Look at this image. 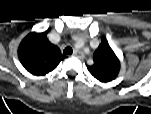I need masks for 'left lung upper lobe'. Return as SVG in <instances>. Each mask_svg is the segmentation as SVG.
<instances>
[{"instance_id": "left-lung-upper-lobe-1", "label": "left lung upper lobe", "mask_w": 151, "mask_h": 114, "mask_svg": "<svg viewBox=\"0 0 151 114\" xmlns=\"http://www.w3.org/2000/svg\"><path fill=\"white\" fill-rule=\"evenodd\" d=\"M94 64L90 73L101 82L114 80L120 71V62L107 41H102L93 55Z\"/></svg>"}]
</instances>
